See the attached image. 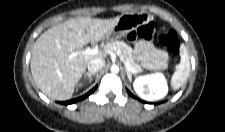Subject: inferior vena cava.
I'll return each mask as SVG.
<instances>
[{
  "label": "inferior vena cava",
  "mask_w": 225,
  "mask_h": 132,
  "mask_svg": "<svg viewBox=\"0 0 225 132\" xmlns=\"http://www.w3.org/2000/svg\"><path fill=\"white\" fill-rule=\"evenodd\" d=\"M105 65V61L101 58H95L89 61L87 67L89 72H97Z\"/></svg>",
  "instance_id": "602c4592"
}]
</instances>
